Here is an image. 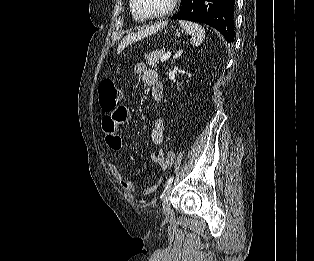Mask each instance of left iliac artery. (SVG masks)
I'll return each mask as SVG.
<instances>
[{
	"mask_svg": "<svg viewBox=\"0 0 314 261\" xmlns=\"http://www.w3.org/2000/svg\"><path fill=\"white\" fill-rule=\"evenodd\" d=\"M174 177H170L167 182H166V186L168 187L169 185H171V183L173 182Z\"/></svg>",
	"mask_w": 314,
	"mask_h": 261,
	"instance_id": "left-iliac-artery-1",
	"label": "left iliac artery"
}]
</instances>
